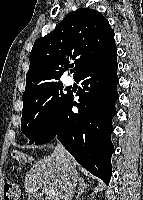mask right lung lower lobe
Returning a JSON list of instances; mask_svg holds the SVG:
<instances>
[{
	"mask_svg": "<svg viewBox=\"0 0 143 200\" xmlns=\"http://www.w3.org/2000/svg\"><path fill=\"white\" fill-rule=\"evenodd\" d=\"M117 48L85 66L75 77L82 88L69 95L34 142L44 144L58 138L76 161L101 178L107 185L112 175L111 155L114 146L112 118L119 98L117 84ZM78 108V113L72 107Z\"/></svg>",
	"mask_w": 143,
	"mask_h": 200,
	"instance_id": "obj_1",
	"label": "right lung lower lobe"
}]
</instances>
